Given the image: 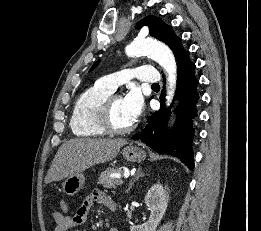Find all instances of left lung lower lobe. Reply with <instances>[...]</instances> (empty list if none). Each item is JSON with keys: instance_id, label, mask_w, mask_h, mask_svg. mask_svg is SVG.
Masks as SVG:
<instances>
[{"instance_id": "left-lung-lower-lobe-1", "label": "left lung lower lobe", "mask_w": 261, "mask_h": 231, "mask_svg": "<svg viewBox=\"0 0 261 231\" xmlns=\"http://www.w3.org/2000/svg\"><path fill=\"white\" fill-rule=\"evenodd\" d=\"M177 91L180 100L176 107V122L171 130L166 129L169 113L154 112L148 119V124L140 134L132 139L141 140L158 153L168 154L180 159L189 169L194 168L192 152L195 128L194 119L197 116L196 104L199 100L197 91L198 80L194 74L195 64L186 54L178 63ZM164 98L161 96V99Z\"/></svg>"}]
</instances>
